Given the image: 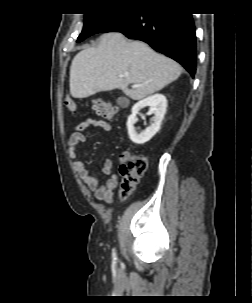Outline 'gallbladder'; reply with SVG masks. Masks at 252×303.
<instances>
[{
    "label": "gallbladder",
    "mask_w": 252,
    "mask_h": 303,
    "mask_svg": "<svg viewBox=\"0 0 252 303\" xmlns=\"http://www.w3.org/2000/svg\"><path fill=\"white\" fill-rule=\"evenodd\" d=\"M122 101H123V98H122V97H119V98L117 99V103H118L120 106H122Z\"/></svg>",
    "instance_id": "bac80fb5"
}]
</instances>
